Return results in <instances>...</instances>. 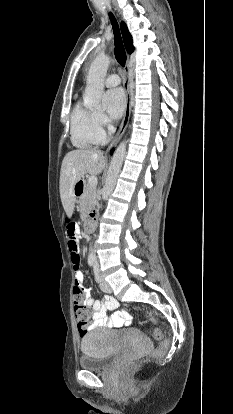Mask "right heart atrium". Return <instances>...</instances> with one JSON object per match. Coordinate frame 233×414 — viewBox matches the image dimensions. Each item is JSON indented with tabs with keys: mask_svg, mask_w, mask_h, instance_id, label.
<instances>
[{
	"mask_svg": "<svg viewBox=\"0 0 233 414\" xmlns=\"http://www.w3.org/2000/svg\"><path fill=\"white\" fill-rule=\"evenodd\" d=\"M96 125L98 128V132L102 140L105 139L106 136V129L109 126V121L104 114L97 113L95 114Z\"/></svg>",
	"mask_w": 233,
	"mask_h": 414,
	"instance_id": "right-heart-atrium-1",
	"label": "right heart atrium"
}]
</instances>
